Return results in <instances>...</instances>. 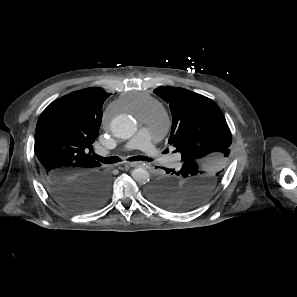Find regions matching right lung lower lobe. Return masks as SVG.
Instances as JSON below:
<instances>
[{
	"instance_id": "obj_1",
	"label": "right lung lower lobe",
	"mask_w": 297,
	"mask_h": 297,
	"mask_svg": "<svg viewBox=\"0 0 297 297\" xmlns=\"http://www.w3.org/2000/svg\"><path fill=\"white\" fill-rule=\"evenodd\" d=\"M47 192L62 207L72 212H90L106 201L109 177L101 169L80 176L53 172L42 174Z\"/></svg>"
}]
</instances>
